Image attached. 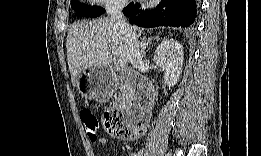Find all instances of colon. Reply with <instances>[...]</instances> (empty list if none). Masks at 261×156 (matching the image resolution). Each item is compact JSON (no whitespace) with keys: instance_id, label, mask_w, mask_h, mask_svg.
<instances>
[{"instance_id":"obj_1","label":"colon","mask_w":261,"mask_h":156,"mask_svg":"<svg viewBox=\"0 0 261 156\" xmlns=\"http://www.w3.org/2000/svg\"><path fill=\"white\" fill-rule=\"evenodd\" d=\"M80 119L85 127L88 138L95 142L100 133L101 126L97 118L90 110H83L80 114ZM103 127L106 132L118 138L132 139L141 136L145 128L143 125H132L126 121L125 115L117 108H108L103 115Z\"/></svg>"}]
</instances>
